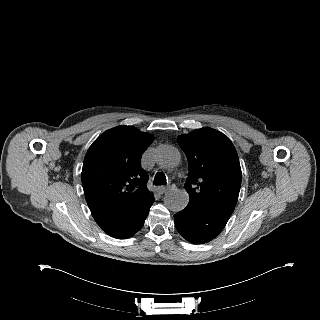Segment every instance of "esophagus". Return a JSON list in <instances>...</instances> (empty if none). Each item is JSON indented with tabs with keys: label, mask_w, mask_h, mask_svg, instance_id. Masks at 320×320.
Segmentation results:
<instances>
[{
	"label": "esophagus",
	"mask_w": 320,
	"mask_h": 320,
	"mask_svg": "<svg viewBox=\"0 0 320 320\" xmlns=\"http://www.w3.org/2000/svg\"><path fill=\"white\" fill-rule=\"evenodd\" d=\"M174 187H175L174 184L169 185V186H163V187H161V190H162V192H167V191L171 190Z\"/></svg>",
	"instance_id": "obj_1"
}]
</instances>
